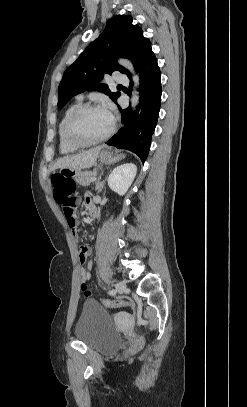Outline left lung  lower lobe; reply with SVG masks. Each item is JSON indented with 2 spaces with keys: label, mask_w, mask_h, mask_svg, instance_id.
Returning <instances> with one entry per match:
<instances>
[{
  "label": "left lung lower lobe",
  "mask_w": 247,
  "mask_h": 407,
  "mask_svg": "<svg viewBox=\"0 0 247 407\" xmlns=\"http://www.w3.org/2000/svg\"><path fill=\"white\" fill-rule=\"evenodd\" d=\"M136 71L140 75L139 104L132 113L130 108L119 107L122 120L127 121V124L107 144L130 150L144 162L148 156L151 137L159 116L162 92L161 73L152 51L143 58ZM128 77L131 80V75Z\"/></svg>",
  "instance_id": "0a47b994"
}]
</instances>
